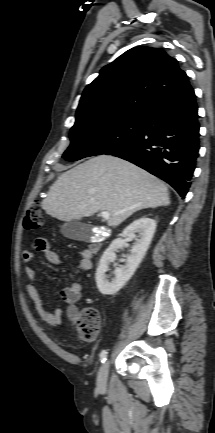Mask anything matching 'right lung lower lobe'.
<instances>
[{"label":"right lung lower lobe","mask_w":215,"mask_h":433,"mask_svg":"<svg viewBox=\"0 0 215 433\" xmlns=\"http://www.w3.org/2000/svg\"><path fill=\"white\" fill-rule=\"evenodd\" d=\"M196 97L187 85L143 114L138 135L106 153L120 157L169 183L184 198L199 150Z\"/></svg>","instance_id":"right-lung-lower-lobe-1"}]
</instances>
